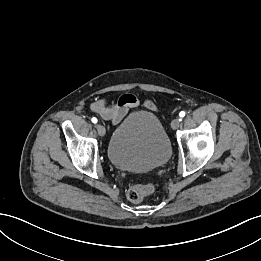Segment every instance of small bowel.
I'll return each instance as SVG.
<instances>
[{"mask_svg":"<svg viewBox=\"0 0 261 261\" xmlns=\"http://www.w3.org/2000/svg\"><path fill=\"white\" fill-rule=\"evenodd\" d=\"M140 106H144L152 111L157 110L153 102L146 100L141 103L132 94H124L116 102H108L105 99L97 100L91 104V110L99 114L104 120L116 125L126 117L130 109H138Z\"/></svg>","mask_w":261,"mask_h":261,"instance_id":"small-bowel-1","label":"small bowel"}]
</instances>
